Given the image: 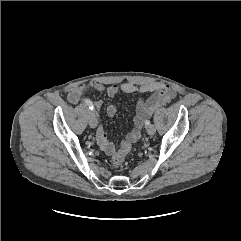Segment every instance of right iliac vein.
I'll return each instance as SVG.
<instances>
[{
    "instance_id": "obj_1",
    "label": "right iliac vein",
    "mask_w": 241,
    "mask_h": 241,
    "mask_svg": "<svg viewBox=\"0 0 241 241\" xmlns=\"http://www.w3.org/2000/svg\"><path fill=\"white\" fill-rule=\"evenodd\" d=\"M89 125L91 128H95L97 126V117L94 112L89 113Z\"/></svg>"
}]
</instances>
